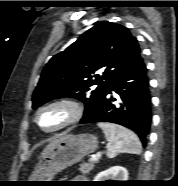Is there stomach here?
<instances>
[{"label":"stomach","instance_id":"stomach-1","mask_svg":"<svg viewBox=\"0 0 178 186\" xmlns=\"http://www.w3.org/2000/svg\"><path fill=\"white\" fill-rule=\"evenodd\" d=\"M98 148V139L93 134H67L42 157L29 177V181H52L63 169L79 162Z\"/></svg>","mask_w":178,"mask_h":186}]
</instances>
